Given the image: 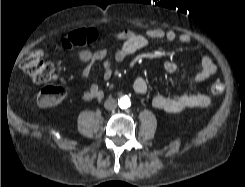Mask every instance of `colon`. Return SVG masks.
Listing matches in <instances>:
<instances>
[{
  "label": "colon",
  "mask_w": 245,
  "mask_h": 187,
  "mask_svg": "<svg viewBox=\"0 0 245 187\" xmlns=\"http://www.w3.org/2000/svg\"><path fill=\"white\" fill-rule=\"evenodd\" d=\"M89 43L84 30H75L64 40L63 46L66 48L83 46ZM22 70L29 75L34 82L46 84L51 81H60L57 84L45 86L39 96L38 103L42 107H53L62 102L68 92L67 84L61 82L59 70L52 62L44 61L40 51H32L26 55L21 62ZM225 86L221 82H214L210 85V93L214 96L224 92Z\"/></svg>",
  "instance_id": "1"
}]
</instances>
